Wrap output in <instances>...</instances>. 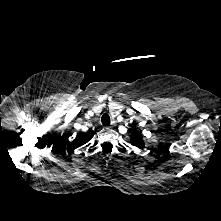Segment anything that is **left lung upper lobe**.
<instances>
[{
	"instance_id": "left-lung-upper-lobe-1",
	"label": "left lung upper lobe",
	"mask_w": 221,
	"mask_h": 221,
	"mask_svg": "<svg viewBox=\"0 0 221 221\" xmlns=\"http://www.w3.org/2000/svg\"><path fill=\"white\" fill-rule=\"evenodd\" d=\"M142 134L138 131V130H134L133 133L131 134L130 136V141H131V144L133 146H136L138 148H143L144 147V141H143V138H142Z\"/></svg>"
}]
</instances>
